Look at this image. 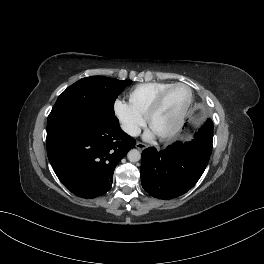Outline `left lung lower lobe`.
<instances>
[{"mask_svg": "<svg viewBox=\"0 0 264 264\" xmlns=\"http://www.w3.org/2000/svg\"><path fill=\"white\" fill-rule=\"evenodd\" d=\"M212 140L213 123L208 119L191 142H176L161 151L154 147L145 149L140 169L144 190L160 199H172L186 193L208 164Z\"/></svg>", "mask_w": 264, "mask_h": 264, "instance_id": "1", "label": "left lung lower lobe"}]
</instances>
